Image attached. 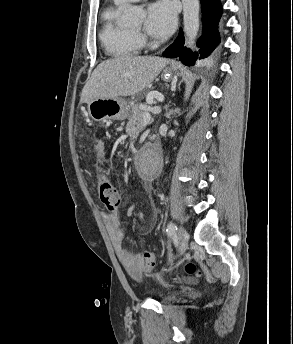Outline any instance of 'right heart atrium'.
<instances>
[{"instance_id":"right-heart-atrium-1","label":"right heart atrium","mask_w":293,"mask_h":344,"mask_svg":"<svg viewBox=\"0 0 293 344\" xmlns=\"http://www.w3.org/2000/svg\"><path fill=\"white\" fill-rule=\"evenodd\" d=\"M139 40H140V42H141V41H143V40H144V38H143V37H141V36H139Z\"/></svg>"}]
</instances>
